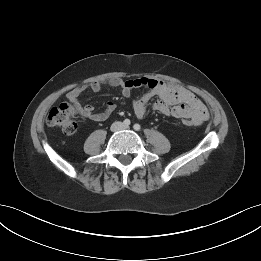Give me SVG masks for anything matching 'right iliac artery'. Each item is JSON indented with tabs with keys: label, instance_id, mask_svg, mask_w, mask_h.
I'll return each instance as SVG.
<instances>
[{
	"label": "right iliac artery",
	"instance_id": "obj_1",
	"mask_svg": "<svg viewBox=\"0 0 261 261\" xmlns=\"http://www.w3.org/2000/svg\"><path fill=\"white\" fill-rule=\"evenodd\" d=\"M130 120L129 119H125L124 121H123V124L125 125V126H129L130 125Z\"/></svg>",
	"mask_w": 261,
	"mask_h": 261
}]
</instances>
